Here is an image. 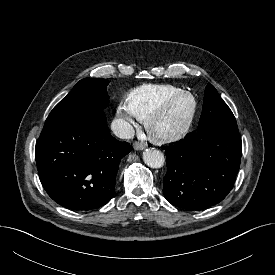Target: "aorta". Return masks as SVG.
Instances as JSON below:
<instances>
[{
	"label": "aorta",
	"instance_id": "762f6f07",
	"mask_svg": "<svg viewBox=\"0 0 275 275\" xmlns=\"http://www.w3.org/2000/svg\"><path fill=\"white\" fill-rule=\"evenodd\" d=\"M143 160L151 168H160L165 162L163 153L155 148H147L143 152Z\"/></svg>",
	"mask_w": 275,
	"mask_h": 275
}]
</instances>
